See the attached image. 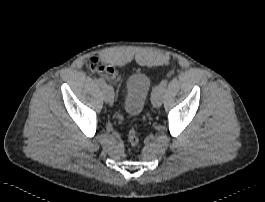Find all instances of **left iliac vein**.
Segmentation results:
<instances>
[{"instance_id":"obj_1","label":"left iliac vein","mask_w":265,"mask_h":202,"mask_svg":"<svg viewBox=\"0 0 265 202\" xmlns=\"http://www.w3.org/2000/svg\"><path fill=\"white\" fill-rule=\"evenodd\" d=\"M163 90L158 91L152 96V104L154 107L159 108L162 104Z\"/></svg>"}]
</instances>
